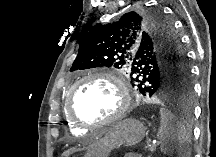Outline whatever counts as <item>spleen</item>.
<instances>
[{
	"instance_id": "spleen-1",
	"label": "spleen",
	"mask_w": 216,
	"mask_h": 157,
	"mask_svg": "<svg viewBox=\"0 0 216 157\" xmlns=\"http://www.w3.org/2000/svg\"><path fill=\"white\" fill-rule=\"evenodd\" d=\"M160 116L157 138L161 151L167 155L176 154L178 157H188L190 154L189 129L168 109L161 108Z\"/></svg>"
}]
</instances>
